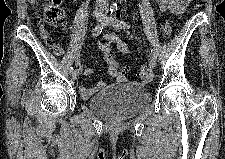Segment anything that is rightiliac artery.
Returning <instances> with one entry per match:
<instances>
[{
    "label": "right iliac artery",
    "instance_id": "1",
    "mask_svg": "<svg viewBox=\"0 0 225 159\" xmlns=\"http://www.w3.org/2000/svg\"><path fill=\"white\" fill-rule=\"evenodd\" d=\"M103 28H104L103 23L102 22L98 23L96 25V27L93 29L92 36H94V37L98 36L102 32ZM73 70H74V68L70 67V72H72Z\"/></svg>",
    "mask_w": 225,
    "mask_h": 159
}]
</instances>
